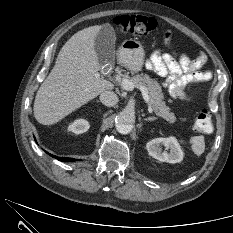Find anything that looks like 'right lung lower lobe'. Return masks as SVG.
Wrapping results in <instances>:
<instances>
[{
	"mask_svg": "<svg viewBox=\"0 0 233 233\" xmlns=\"http://www.w3.org/2000/svg\"><path fill=\"white\" fill-rule=\"evenodd\" d=\"M48 154H49V153H48ZM49 155L52 156L53 158H56V159H58V160H60V161H64V162L75 161V159H73V158L57 157V156L51 155V154H49Z\"/></svg>",
	"mask_w": 233,
	"mask_h": 233,
	"instance_id": "obj_1",
	"label": "right lung lower lobe"
}]
</instances>
